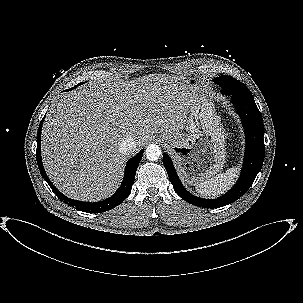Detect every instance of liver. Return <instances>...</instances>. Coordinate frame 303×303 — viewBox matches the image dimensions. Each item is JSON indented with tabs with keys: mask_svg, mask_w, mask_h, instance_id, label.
<instances>
[{
	"mask_svg": "<svg viewBox=\"0 0 303 303\" xmlns=\"http://www.w3.org/2000/svg\"><path fill=\"white\" fill-rule=\"evenodd\" d=\"M199 101L182 76L149 74L130 81L96 75L50 106L42 129V158L55 186L70 198L104 199L118 188L129 155L151 135L179 134ZM128 137L130 154L119 151Z\"/></svg>",
	"mask_w": 303,
	"mask_h": 303,
	"instance_id": "liver-1",
	"label": "liver"
}]
</instances>
